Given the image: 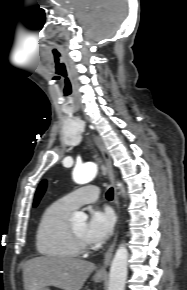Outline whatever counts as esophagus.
<instances>
[{
  "label": "esophagus",
  "mask_w": 187,
  "mask_h": 290,
  "mask_svg": "<svg viewBox=\"0 0 187 290\" xmlns=\"http://www.w3.org/2000/svg\"><path fill=\"white\" fill-rule=\"evenodd\" d=\"M94 140L96 142L97 147L99 148L103 159L105 161V165H106V171L108 173L109 179L114 187V202L116 207L118 208L119 206V202H118V193H117V189H116V184H115V177H114V171H113V166H112V159L111 156L105 146V144L103 143V141L100 139V137L96 136L95 134H93ZM118 217V215H117ZM116 240H117V234L115 235L112 244L110 245V247L108 248L107 252L105 253V257H104V261H103V265L102 267L98 270V274L99 275H106L107 274V267L110 264L111 258H112V254L116 245Z\"/></svg>",
  "instance_id": "34e87169"
}]
</instances>
